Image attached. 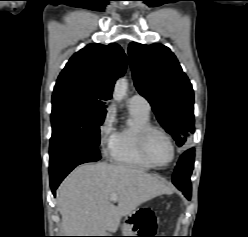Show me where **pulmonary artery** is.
Segmentation results:
<instances>
[{
    "label": "pulmonary artery",
    "instance_id": "pulmonary-artery-1",
    "mask_svg": "<svg viewBox=\"0 0 248 237\" xmlns=\"http://www.w3.org/2000/svg\"><path fill=\"white\" fill-rule=\"evenodd\" d=\"M128 106L137 107L144 111H150V104L148 100L140 94H135L131 96L128 101Z\"/></svg>",
    "mask_w": 248,
    "mask_h": 237
}]
</instances>
